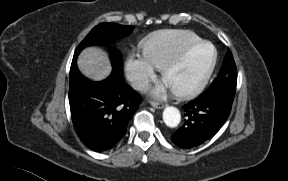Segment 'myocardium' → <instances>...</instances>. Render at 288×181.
Listing matches in <instances>:
<instances>
[{
	"label": "myocardium",
	"instance_id": "myocardium-1",
	"mask_svg": "<svg viewBox=\"0 0 288 181\" xmlns=\"http://www.w3.org/2000/svg\"><path fill=\"white\" fill-rule=\"evenodd\" d=\"M209 45L213 48L214 50V56H213V60L212 63L208 69V71L206 72V74L195 84L186 87V88H181V89H172L173 92L177 95V96H181V97H190V96H194L196 94H198L199 92H201L204 87L207 85V83L209 82L210 78L212 77L215 68L217 66V62H218V49L217 47L210 41L207 40H202L198 43H195L193 45H190L186 48H184L181 52H179L174 58H172L170 61H168L162 68H161V75L162 78L165 79V77L172 72L173 70H175L176 68H178L186 59L187 57L193 53L194 51H196L197 49Z\"/></svg>",
	"mask_w": 288,
	"mask_h": 181
}]
</instances>
